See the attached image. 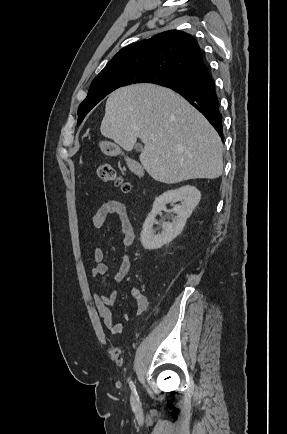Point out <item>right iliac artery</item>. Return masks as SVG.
<instances>
[{"mask_svg": "<svg viewBox=\"0 0 287 434\" xmlns=\"http://www.w3.org/2000/svg\"><path fill=\"white\" fill-rule=\"evenodd\" d=\"M130 388H131V390L133 391L134 395L137 396V392H136V389H135V385H134V383H133L132 381L130 382Z\"/></svg>", "mask_w": 287, "mask_h": 434, "instance_id": "obj_1", "label": "right iliac artery"}]
</instances>
